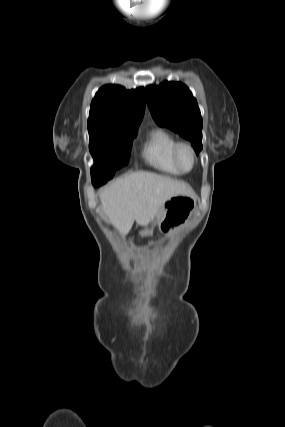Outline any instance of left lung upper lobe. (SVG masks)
Segmentation results:
<instances>
[{"mask_svg":"<svg viewBox=\"0 0 285 427\" xmlns=\"http://www.w3.org/2000/svg\"><path fill=\"white\" fill-rule=\"evenodd\" d=\"M153 118L160 126L188 139L196 154L202 149V117L196 99L186 85L164 81L145 89Z\"/></svg>","mask_w":285,"mask_h":427,"instance_id":"left-lung-upper-lobe-1","label":"left lung upper lobe"}]
</instances>
